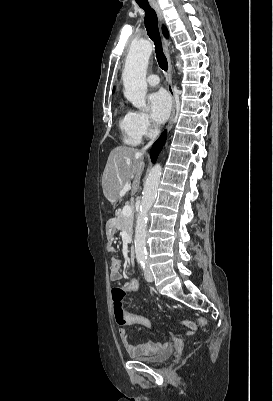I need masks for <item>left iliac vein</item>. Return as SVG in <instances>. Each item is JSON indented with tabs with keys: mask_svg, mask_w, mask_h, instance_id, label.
Masks as SVG:
<instances>
[{
	"mask_svg": "<svg viewBox=\"0 0 273 401\" xmlns=\"http://www.w3.org/2000/svg\"><path fill=\"white\" fill-rule=\"evenodd\" d=\"M145 279L148 282H152L154 280L152 272L148 267L145 268Z\"/></svg>",
	"mask_w": 273,
	"mask_h": 401,
	"instance_id": "left-iliac-vein-1",
	"label": "left iliac vein"
}]
</instances>
